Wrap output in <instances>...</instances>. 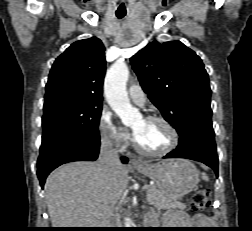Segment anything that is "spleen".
I'll list each match as a JSON object with an SVG mask.
<instances>
[{
    "label": "spleen",
    "instance_id": "obj_1",
    "mask_svg": "<svg viewBox=\"0 0 252 231\" xmlns=\"http://www.w3.org/2000/svg\"><path fill=\"white\" fill-rule=\"evenodd\" d=\"M202 178H203L204 180H206V181L209 180V178H208V176H207L206 174H203V175H202Z\"/></svg>",
    "mask_w": 252,
    "mask_h": 231
}]
</instances>
